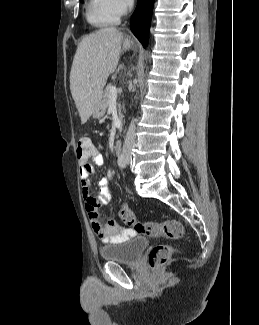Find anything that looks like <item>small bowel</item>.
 <instances>
[{"mask_svg":"<svg viewBox=\"0 0 259 325\" xmlns=\"http://www.w3.org/2000/svg\"><path fill=\"white\" fill-rule=\"evenodd\" d=\"M80 163V179L82 186V196L85 203V209L88 214L91 226L96 236L103 243H121L132 238L135 233L129 228L121 226L114 220H102L99 208L107 204L110 200L109 178L103 177L99 180V191L96 196L91 194L90 178L95 174V166L104 165V157L96 149L91 157Z\"/></svg>","mask_w":259,"mask_h":325,"instance_id":"obj_1","label":"small bowel"}]
</instances>
